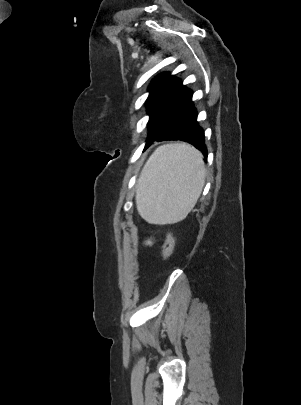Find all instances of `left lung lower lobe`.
Listing matches in <instances>:
<instances>
[{
  "label": "left lung lower lobe",
  "instance_id": "obj_1",
  "mask_svg": "<svg viewBox=\"0 0 301 405\" xmlns=\"http://www.w3.org/2000/svg\"><path fill=\"white\" fill-rule=\"evenodd\" d=\"M180 140L199 149L205 158L208 152L204 132L197 121V111L193 106L192 92L186 90L184 96L174 105L161 127L146 140V146L154 141Z\"/></svg>",
  "mask_w": 301,
  "mask_h": 405
}]
</instances>
